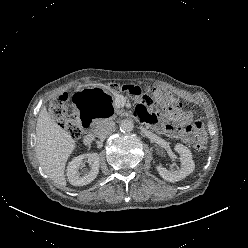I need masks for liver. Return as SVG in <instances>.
Instances as JSON below:
<instances>
[{
	"label": "liver",
	"instance_id": "1",
	"mask_svg": "<svg viewBox=\"0 0 248 248\" xmlns=\"http://www.w3.org/2000/svg\"><path fill=\"white\" fill-rule=\"evenodd\" d=\"M36 157L44 173L58 186L66 187L65 165L75 140L42 108L36 124Z\"/></svg>",
	"mask_w": 248,
	"mask_h": 248
}]
</instances>
